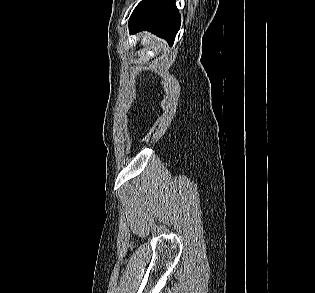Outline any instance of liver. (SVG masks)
I'll return each mask as SVG.
<instances>
[{
	"instance_id": "1",
	"label": "liver",
	"mask_w": 315,
	"mask_h": 293,
	"mask_svg": "<svg viewBox=\"0 0 315 293\" xmlns=\"http://www.w3.org/2000/svg\"><path fill=\"white\" fill-rule=\"evenodd\" d=\"M154 39L155 38L152 35H150L148 33H144V34H142L141 44L145 45L147 43H150V41L152 42Z\"/></svg>"
}]
</instances>
